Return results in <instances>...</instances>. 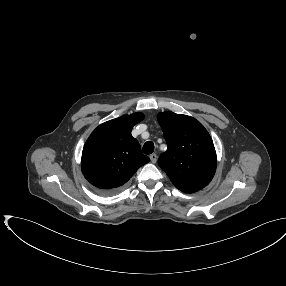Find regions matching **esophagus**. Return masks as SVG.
<instances>
[{"mask_svg":"<svg viewBox=\"0 0 286 286\" xmlns=\"http://www.w3.org/2000/svg\"><path fill=\"white\" fill-rule=\"evenodd\" d=\"M150 160L152 163H156L157 162V155L155 153L150 155Z\"/></svg>","mask_w":286,"mask_h":286,"instance_id":"34e87169","label":"esophagus"}]
</instances>
